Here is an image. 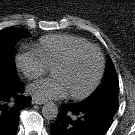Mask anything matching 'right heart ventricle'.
<instances>
[{"label":"right heart ventricle","mask_w":135,"mask_h":135,"mask_svg":"<svg viewBox=\"0 0 135 135\" xmlns=\"http://www.w3.org/2000/svg\"><path fill=\"white\" fill-rule=\"evenodd\" d=\"M85 39L69 34H50L40 38L35 50L40 54L47 67H52L72 49L88 46Z\"/></svg>","instance_id":"1"}]
</instances>
